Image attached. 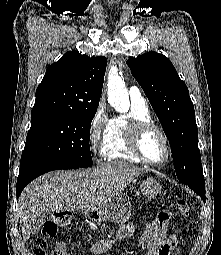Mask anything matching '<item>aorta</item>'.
Segmentation results:
<instances>
[{"mask_svg":"<svg viewBox=\"0 0 221 255\" xmlns=\"http://www.w3.org/2000/svg\"><path fill=\"white\" fill-rule=\"evenodd\" d=\"M108 102L119 112H126L130 102L125 83L118 75L111 76L108 82Z\"/></svg>","mask_w":221,"mask_h":255,"instance_id":"762f6f07","label":"aorta"}]
</instances>
